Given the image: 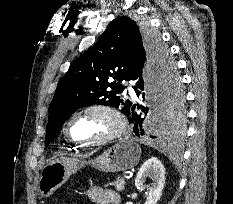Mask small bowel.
Segmentation results:
<instances>
[{
  "instance_id": "c3829d8e",
  "label": "small bowel",
  "mask_w": 233,
  "mask_h": 204,
  "mask_svg": "<svg viewBox=\"0 0 233 204\" xmlns=\"http://www.w3.org/2000/svg\"><path fill=\"white\" fill-rule=\"evenodd\" d=\"M87 197L95 204H119L120 196L112 189L91 187L86 191Z\"/></svg>"
}]
</instances>
